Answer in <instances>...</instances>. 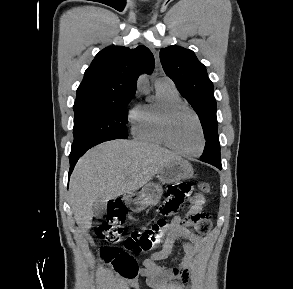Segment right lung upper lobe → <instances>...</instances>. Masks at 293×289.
<instances>
[{
    "label": "right lung upper lobe",
    "mask_w": 293,
    "mask_h": 289,
    "mask_svg": "<svg viewBox=\"0 0 293 289\" xmlns=\"http://www.w3.org/2000/svg\"><path fill=\"white\" fill-rule=\"evenodd\" d=\"M154 57L145 46H111L100 51L77 89L76 101L134 96L142 72L151 73Z\"/></svg>",
    "instance_id": "obj_1"
}]
</instances>
